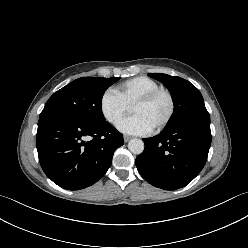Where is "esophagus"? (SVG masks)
Masks as SVG:
<instances>
[{
	"label": "esophagus",
	"instance_id": "obj_1",
	"mask_svg": "<svg viewBox=\"0 0 248 248\" xmlns=\"http://www.w3.org/2000/svg\"><path fill=\"white\" fill-rule=\"evenodd\" d=\"M130 139H131L130 136H127V135L124 136V141H125V142H128Z\"/></svg>",
	"mask_w": 248,
	"mask_h": 248
}]
</instances>
